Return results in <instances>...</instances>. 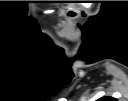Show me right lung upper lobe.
I'll use <instances>...</instances> for the list:
<instances>
[{"instance_id": "obj_1", "label": "right lung upper lobe", "mask_w": 128, "mask_h": 101, "mask_svg": "<svg viewBox=\"0 0 128 101\" xmlns=\"http://www.w3.org/2000/svg\"><path fill=\"white\" fill-rule=\"evenodd\" d=\"M102 100H106V101H114L115 99L112 97H103Z\"/></svg>"}]
</instances>
